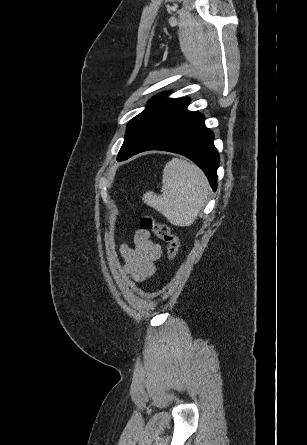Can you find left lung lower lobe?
Returning a JSON list of instances; mask_svg holds the SVG:
<instances>
[{
	"label": "left lung lower lobe",
	"mask_w": 307,
	"mask_h": 445,
	"mask_svg": "<svg viewBox=\"0 0 307 445\" xmlns=\"http://www.w3.org/2000/svg\"><path fill=\"white\" fill-rule=\"evenodd\" d=\"M213 139L212 131L204 125V116L189 111L148 138L124 160L147 150H163L184 155L204 171L215 191L219 156Z\"/></svg>",
	"instance_id": "obj_1"
}]
</instances>
